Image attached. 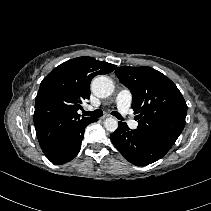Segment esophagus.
Here are the masks:
<instances>
[{
	"label": "esophagus",
	"mask_w": 211,
	"mask_h": 211,
	"mask_svg": "<svg viewBox=\"0 0 211 211\" xmlns=\"http://www.w3.org/2000/svg\"><path fill=\"white\" fill-rule=\"evenodd\" d=\"M108 117H110V115L105 114V115L102 117V119L104 120V119H106V118H108Z\"/></svg>",
	"instance_id": "obj_1"
}]
</instances>
